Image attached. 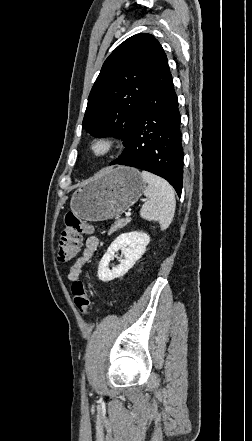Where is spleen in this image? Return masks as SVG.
<instances>
[{
    "instance_id": "3e777b00",
    "label": "spleen",
    "mask_w": 252,
    "mask_h": 441,
    "mask_svg": "<svg viewBox=\"0 0 252 441\" xmlns=\"http://www.w3.org/2000/svg\"><path fill=\"white\" fill-rule=\"evenodd\" d=\"M141 176L148 186L144 190L147 200L140 210V216L145 220L158 222L161 230H165L171 224L175 213L173 188L164 179L147 171H142Z\"/></svg>"
}]
</instances>
